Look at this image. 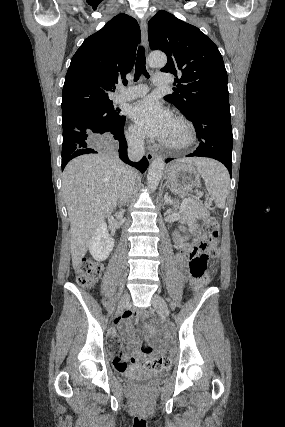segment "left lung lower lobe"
I'll list each match as a JSON object with an SVG mask.
<instances>
[{"label":"left lung lower lobe","instance_id":"0a47b994","mask_svg":"<svg viewBox=\"0 0 285 427\" xmlns=\"http://www.w3.org/2000/svg\"><path fill=\"white\" fill-rule=\"evenodd\" d=\"M188 119L195 126L200 145L195 152L187 156L216 159L222 162L231 173L233 135L230 112L216 108H202L194 111ZM171 160L172 158H168L166 163Z\"/></svg>","mask_w":285,"mask_h":427}]
</instances>
